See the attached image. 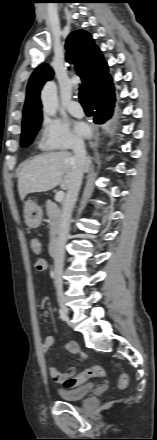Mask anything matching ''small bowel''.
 <instances>
[{"label":"small bowel","mask_w":157,"mask_h":440,"mask_svg":"<svg viewBox=\"0 0 157 440\" xmlns=\"http://www.w3.org/2000/svg\"><path fill=\"white\" fill-rule=\"evenodd\" d=\"M49 315L50 314L48 311L43 312L44 317H49ZM53 344H54V340L52 337L45 338L44 342L42 343V351L44 353L49 352ZM65 349L70 355H76L80 353V348L78 344L75 342L66 343ZM81 357L84 359L85 356L82 354ZM77 370H78L77 366H71L65 372H60L54 366H48L49 375L59 384H64L65 380L74 376Z\"/></svg>","instance_id":"c3829d8e"}]
</instances>
